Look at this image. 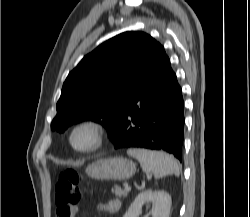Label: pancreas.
<instances>
[{"label":"pancreas","instance_id":"cf45deb5","mask_svg":"<svg viewBox=\"0 0 250 217\" xmlns=\"http://www.w3.org/2000/svg\"><path fill=\"white\" fill-rule=\"evenodd\" d=\"M112 193L115 194L118 197H126L128 195V191L121 189L120 187L116 186L115 188H112Z\"/></svg>","mask_w":250,"mask_h":217}]
</instances>
